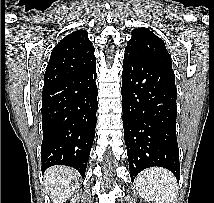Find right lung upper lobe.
<instances>
[{
    "instance_id": "right-lung-upper-lobe-1",
    "label": "right lung upper lobe",
    "mask_w": 214,
    "mask_h": 203,
    "mask_svg": "<svg viewBox=\"0 0 214 203\" xmlns=\"http://www.w3.org/2000/svg\"><path fill=\"white\" fill-rule=\"evenodd\" d=\"M95 64L94 47L87 32L74 31L54 47L45 72L44 87L77 75Z\"/></svg>"
}]
</instances>
